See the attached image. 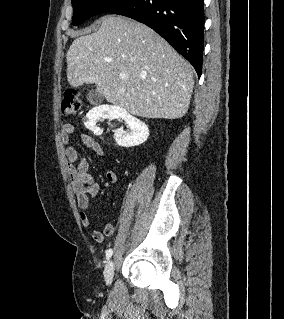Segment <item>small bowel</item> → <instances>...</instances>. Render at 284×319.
I'll return each mask as SVG.
<instances>
[{"mask_svg": "<svg viewBox=\"0 0 284 319\" xmlns=\"http://www.w3.org/2000/svg\"><path fill=\"white\" fill-rule=\"evenodd\" d=\"M75 131V128L71 124H65L62 128L61 139L66 145L69 144L70 135ZM82 143L89 149H91L96 155L103 156L104 152L101 145L89 134H83L81 136ZM67 158V172L71 182V187L76 194L77 205L80 208V220L84 227L91 225V219L87 210L90 206V198L98 195L100 191L99 184L95 181L94 177L89 172L87 161L82 158L77 150L68 145L66 149ZM106 179L110 183L117 181V175L112 170L106 171ZM115 231V227L112 223H106L103 230H93L92 238L96 242H102L106 237L112 236Z\"/></svg>", "mask_w": 284, "mask_h": 319, "instance_id": "1", "label": "small bowel"}]
</instances>
